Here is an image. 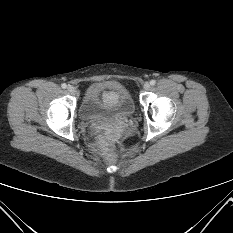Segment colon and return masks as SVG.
Returning a JSON list of instances; mask_svg holds the SVG:
<instances>
[{
  "mask_svg": "<svg viewBox=\"0 0 233 233\" xmlns=\"http://www.w3.org/2000/svg\"><path fill=\"white\" fill-rule=\"evenodd\" d=\"M100 137L103 139V140H108L110 138V131L109 130H103L100 132ZM104 155L106 157H109V153L108 152H104Z\"/></svg>",
  "mask_w": 233,
  "mask_h": 233,
  "instance_id": "colon-1",
  "label": "colon"
}]
</instances>
